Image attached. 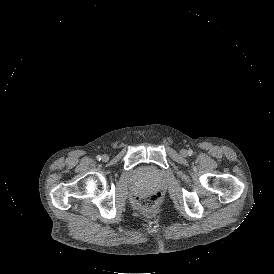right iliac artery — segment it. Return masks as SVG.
<instances>
[{
	"label": "right iliac artery",
	"mask_w": 274,
	"mask_h": 274,
	"mask_svg": "<svg viewBox=\"0 0 274 274\" xmlns=\"http://www.w3.org/2000/svg\"><path fill=\"white\" fill-rule=\"evenodd\" d=\"M96 158H97V160H99V161L101 160V156H100V155H98Z\"/></svg>",
	"instance_id": "1"
}]
</instances>
